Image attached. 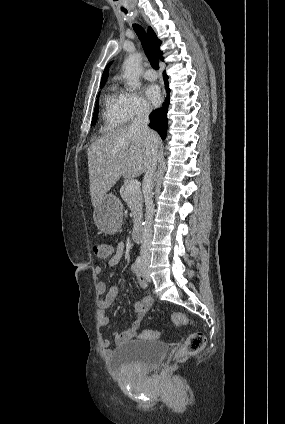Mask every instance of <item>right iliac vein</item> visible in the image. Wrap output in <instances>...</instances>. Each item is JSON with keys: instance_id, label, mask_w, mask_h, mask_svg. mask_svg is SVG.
<instances>
[{"instance_id": "63e3f726", "label": "right iliac vein", "mask_w": 285, "mask_h": 424, "mask_svg": "<svg viewBox=\"0 0 285 424\" xmlns=\"http://www.w3.org/2000/svg\"><path fill=\"white\" fill-rule=\"evenodd\" d=\"M148 262H149V258H148V257H146V258H145V263H146V265H145V266H144V268H143L144 270H146L147 265H148Z\"/></svg>"}]
</instances>
